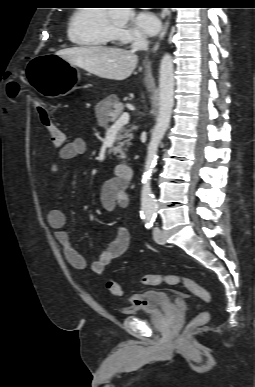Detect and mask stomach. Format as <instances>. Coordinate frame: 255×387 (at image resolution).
I'll return each mask as SVG.
<instances>
[{"label": "stomach", "mask_w": 255, "mask_h": 387, "mask_svg": "<svg viewBox=\"0 0 255 387\" xmlns=\"http://www.w3.org/2000/svg\"><path fill=\"white\" fill-rule=\"evenodd\" d=\"M43 55H35L26 66V82H31L38 95H65L75 91L74 84L79 78L77 67L59 55H54L51 46H42Z\"/></svg>", "instance_id": "obj_1"}]
</instances>
